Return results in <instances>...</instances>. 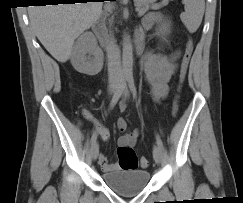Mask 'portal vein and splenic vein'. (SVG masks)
<instances>
[{"label":"portal vein and splenic vein","instance_id":"portal-vein-and-splenic-vein-1","mask_svg":"<svg viewBox=\"0 0 243 203\" xmlns=\"http://www.w3.org/2000/svg\"><path fill=\"white\" fill-rule=\"evenodd\" d=\"M138 11V15L139 16H142L143 15V12H141L139 9H136Z\"/></svg>","mask_w":243,"mask_h":203}]
</instances>
